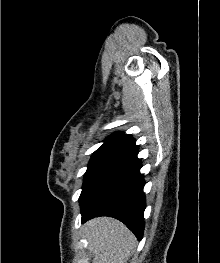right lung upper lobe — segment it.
Wrapping results in <instances>:
<instances>
[{"label": "right lung upper lobe", "instance_id": "right-lung-upper-lobe-1", "mask_svg": "<svg viewBox=\"0 0 220 263\" xmlns=\"http://www.w3.org/2000/svg\"><path fill=\"white\" fill-rule=\"evenodd\" d=\"M133 146H135V139H133L131 135L118 132L108 137L96 152L118 154Z\"/></svg>", "mask_w": 220, "mask_h": 263}]
</instances>
